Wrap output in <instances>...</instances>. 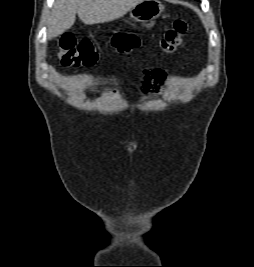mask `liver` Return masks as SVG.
<instances>
[{"label": "liver", "instance_id": "6515ba94", "mask_svg": "<svg viewBox=\"0 0 254 267\" xmlns=\"http://www.w3.org/2000/svg\"><path fill=\"white\" fill-rule=\"evenodd\" d=\"M143 0H56L51 11L48 38L70 29L76 14L86 25L110 22L123 17Z\"/></svg>", "mask_w": 254, "mask_h": 267}]
</instances>
